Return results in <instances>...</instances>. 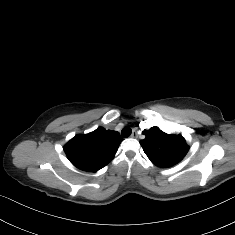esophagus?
<instances>
[{
  "label": "esophagus",
  "instance_id": "1",
  "mask_svg": "<svg viewBox=\"0 0 235 235\" xmlns=\"http://www.w3.org/2000/svg\"><path fill=\"white\" fill-rule=\"evenodd\" d=\"M132 138H138V134L136 130H133L132 134H131Z\"/></svg>",
  "mask_w": 235,
  "mask_h": 235
}]
</instances>
